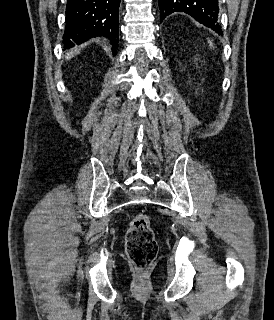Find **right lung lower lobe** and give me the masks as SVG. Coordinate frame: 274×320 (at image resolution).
Returning a JSON list of instances; mask_svg holds the SVG:
<instances>
[{
  "label": "right lung lower lobe",
  "mask_w": 274,
  "mask_h": 320,
  "mask_svg": "<svg viewBox=\"0 0 274 320\" xmlns=\"http://www.w3.org/2000/svg\"><path fill=\"white\" fill-rule=\"evenodd\" d=\"M120 0H67L65 49L96 36L107 37L114 48L118 42Z\"/></svg>",
  "instance_id": "1"
}]
</instances>
